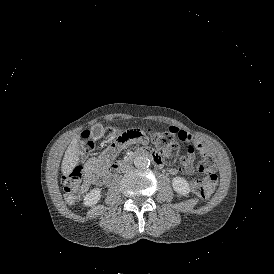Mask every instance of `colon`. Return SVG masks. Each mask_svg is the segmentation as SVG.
I'll return each mask as SVG.
<instances>
[{"label": "colon", "instance_id": "obj_1", "mask_svg": "<svg viewBox=\"0 0 274 274\" xmlns=\"http://www.w3.org/2000/svg\"><path fill=\"white\" fill-rule=\"evenodd\" d=\"M105 137L113 140L115 145L122 146L124 144H138L139 140H146V131L127 130L121 131L110 129L104 132ZM78 142H89V133H78ZM151 140L155 145L157 156L159 157H176L174 154L178 152L185 141L178 139L175 133H170L166 129L151 133ZM82 177V167L76 165L67 175L64 184V198L67 204L74 205L77 202V194L79 192V181ZM191 191L200 199L208 198L214 191L212 184L197 179L191 184Z\"/></svg>", "mask_w": 274, "mask_h": 274}]
</instances>
